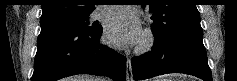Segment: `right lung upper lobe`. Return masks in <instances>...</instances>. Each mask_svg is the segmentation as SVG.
<instances>
[{"instance_id": "1", "label": "right lung upper lobe", "mask_w": 237, "mask_h": 81, "mask_svg": "<svg viewBox=\"0 0 237 81\" xmlns=\"http://www.w3.org/2000/svg\"><path fill=\"white\" fill-rule=\"evenodd\" d=\"M94 9L92 0H44L40 20L86 16Z\"/></svg>"}]
</instances>
